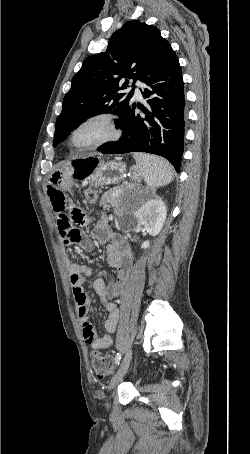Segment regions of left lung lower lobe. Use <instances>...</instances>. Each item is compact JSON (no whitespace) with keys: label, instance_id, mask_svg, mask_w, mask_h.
<instances>
[{"label":"left lung lower lobe","instance_id":"1","mask_svg":"<svg viewBox=\"0 0 250 454\" xmlns=\"http://www.w3.org/2000/svg\"><path fill=\"white\" fill-rule=\"evenodd\" d=\"M142 92L148 98L152 112L139 106L146 115L135 113L136 105H130L118 128L123 135L116 142L101 145L104 154L147 152L160 155L170 161L179 172L184 150V87L181 67L174 51L147 77ZM148 124L152 126L148 130ZM149 131L152 138H150Z\"/></svg>","mask_w":250,"mask_h":454}]
</instances>
